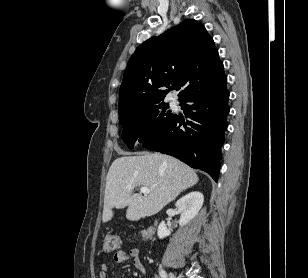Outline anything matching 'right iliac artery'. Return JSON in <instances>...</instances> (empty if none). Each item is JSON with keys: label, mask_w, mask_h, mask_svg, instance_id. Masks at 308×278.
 Returning <instances> with one entry per match:
<instances>
[{"label": "right iliac artery", "mask_w": 308, "mask_h": 278, "mask_svg": "<svg viewBox=\"0 0 308 278\" xmlns=\"http://www.w3.org/2000/svg\"><path fill=\"white\" fill-rule=\"evenodd\" d=\"M159 274H160L161 278H167V274H166V272L164 270L161 269L159 271Z\"/></svg>", "instance_id": "right-iliac-artery-1"}]
</instances>
